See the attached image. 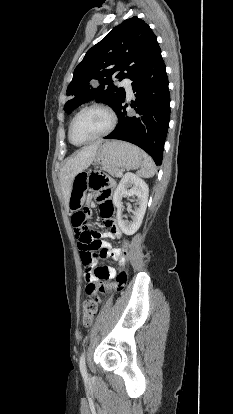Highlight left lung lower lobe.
Returning <instances> with one entry per match:
<instances>
[{
	"mask_svg": "<svg viewBox=\"0 0 233 414\" xmlns=\"http://www.w3.org/2000/svg\"><path fill=\"white\" fill-rule=\"evenodd\" d=\"M131 80L136 100L130 106L136 115L125 116L128 104H124V97L115 110L119 124L105 138L133 143L146 151L156 165H161L170 120L169 82L161 50Z\"/></svg>",
	"mask_w": 233,
	"mask_h": 414,
	"instance_id": "obj_1",
	"label": "left lung lower lobe"
}]
</instances>
